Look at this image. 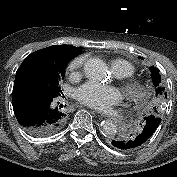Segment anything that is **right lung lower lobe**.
Masks as SVG:
<instances>
[{
	"label": "right lung lower lobe",
	"instance_id": "98d812e1",
	"mask_svg": "<svg viewBox=\"0 0 177 177\" xmlns=\"http://www.w3.org/2000/svg\"><path fill=\"white\" fill-rule=\"evenodd\" d=\"M56 97L14 86L13 110L19 124L35 137L49 136L59 131L68 116L61 106L54 105Z\"/></svg>",
	"mask_w": 177,
	"mask_h": 177
}]
</instances>
